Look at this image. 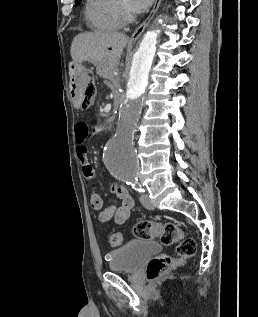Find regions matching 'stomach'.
<instances>
[{
  "mask_svg": "<svg viewBox=\"0 0 258 317\" xmlns=\"http://www.w3.org/2000/svg\"><path fill=\"white\" fill-rule=\"evenodd\" d=\"M71 64H73L74 76H77L80 72H85V70H87L86 66H84V64H79V62H71Z\"/></svg>",
  "mask_w": 258,
  "mask_h": 317,
  "instance_id": "1",
  "label": "stomach"
}]
</instances>
